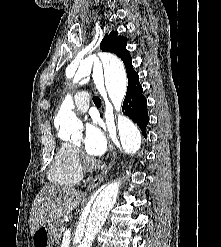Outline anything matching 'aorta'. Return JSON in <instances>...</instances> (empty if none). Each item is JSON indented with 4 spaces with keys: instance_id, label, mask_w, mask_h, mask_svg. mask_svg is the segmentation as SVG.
Wrapping results in <instances>:
<instances>
[{
    "instance_id": "aorta-1",
    "label": "aorta",
    "mask_w": 221,
    "mask_h": 247,
    "mask_svg": "<svg viewBox=\"0 0 221 247\" xmlns=\"http://www.w3.org/2000/svg\"><path fill=\"white\" fill-rule=\"evenodd\" d=\"M104 69V78L109 97L116 108L120 110L123 99L126 95L127 80L126 73L121 61L113 56L98 54ZM96 71H101L96 58H85L79 63L70 64L66 73L74 75V82H79L91 74L92 66ZM74 103L71 95H67L57 115V122L60 125V132L66 135L71 141H77L82 137V122L73 112ZM118 132L121 148L128 154H135L141 147V134L136 125L124 116L118 117ZM121 186V180L105 187L96 197L85 226L82 236L75 243L74 247H91L92 242L106 221L110 210L114 207Z\"/></svg>"
}]
</instances>
